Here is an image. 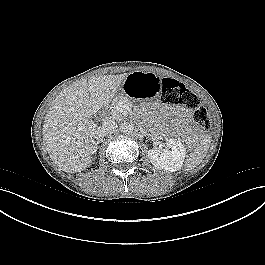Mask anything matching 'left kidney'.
<instances>
[{"instance_id":"left-kidney-1","label":"left kidney","mask_w":265,"mask_h":265,"mask_svg":"<svg viewBox=\"0 0 265 265\" xmlns=\"http://www.w3.org/2000/svg\"><path fill=\"white\" fill-rule=\"evenodd\" d=\"M167 149L160 151L156 148L148 151V158L152 165L166 171L175 172L181 169L186 149L177 139L171 138L167 142Z\"/></svg>"}]
</instances>
